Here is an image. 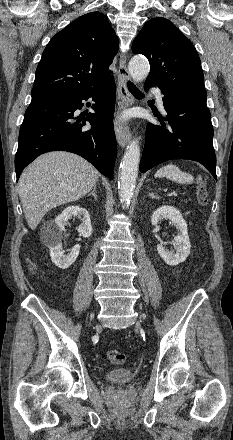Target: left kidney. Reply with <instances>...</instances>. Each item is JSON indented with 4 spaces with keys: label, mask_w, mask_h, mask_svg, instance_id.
<instances>
[{
    "label": "left kidney",
    "mask_w": 233,
    "mask_h": 440,
    "mask_svg": "<svg viewBox=\"0 0 233 440\" xmlns=\"http://www.w3.org/2000/svg\"><path fill=\"white\" fill-rule=\"evenodd\" d=\"M162 219H169L180 233L174 238V250H167L162 244L157 245L160 257L170 266L178 265L186 260L190 254V240L186 221L180 211L172 206H161L151 216V223L156 226Z\"/></svg>",
    "instance_id": "5707ae66"
}]
</instances>
